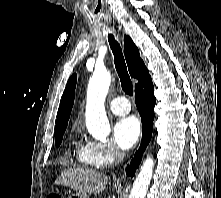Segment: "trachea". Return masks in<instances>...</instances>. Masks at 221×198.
Wrapping results in <instances>:
<instances>
[{
    "label": "trachea",
    "mask_w": 221,
    "mask_h": 198,
    "mask_svg": "<svg viewBox=\"0 0 221 198\" xmlns=\"http://www.w3.org/2000/svg\"><path fill=\"white\" fill-rule=\"evenodd\" d=\"M108 41L114 54V63L116 71L119 75L123 91L128 95H133V85L127 71L126 63L122 53V49L113 35L109 34Z\"/></svg>",
    "instance_id": "trachea-1"
}]
</instances>
